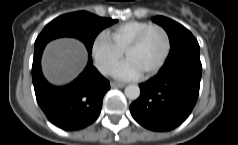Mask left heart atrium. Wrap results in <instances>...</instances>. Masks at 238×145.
<instances>
[{
  "label": "left heart atrium",
  "mask_w": 238,
  "mask_h": 145,
  "mask_svg": "<svg viewBox=\"0 0 238 145\" xmlns=\"http://www.w3.org/2000/svg\"><path fill=\"white\" fill-rule=\"evenodd\" d=\"M139 76H141L140 71L135 67L132 62L128 60H126L114 71V77L119 80H134Z\"/></svg>",
  "instance_id": "1"
}]
</instances>
